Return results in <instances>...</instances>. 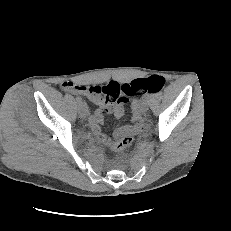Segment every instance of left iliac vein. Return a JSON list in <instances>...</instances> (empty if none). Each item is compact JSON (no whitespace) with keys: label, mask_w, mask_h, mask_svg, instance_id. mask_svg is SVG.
Returning <instances> with one entry per match:
<instances>
[{"label":"left iliac vein","mask_w":231,"mask_h":231,"mask_svg":"<svg viewBox=\"0 0 231 231\" xmlns=\"http://www.w3.org/2000/svg\"><path fill=\"white\" fill-rule=\"evenodd\" d=\"M138 108L141 112H146L148 110V101L146 99H142Z\"/></svg>","instance_id":"4c4485c4"}]
</instances>
